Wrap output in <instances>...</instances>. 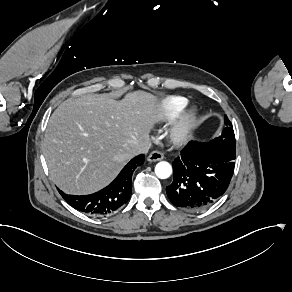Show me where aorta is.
<instances>
[{
	"instance_id": "aorta-1",
	"label": "aorta",
	"mask_w": 292,
	"mask_h": 292,
	"mask_svg": "<svg viewBox=\"0 0 292 292\" xmlns=\"http://www.w3.org/2000/svg\"><path fill=\"white\" fill-rule=\"evenodd\" d=\"M172 173L171 165L167 162H160L155 167V174L160 179L168 178Z\"/></svg>"
}]
</instances>
